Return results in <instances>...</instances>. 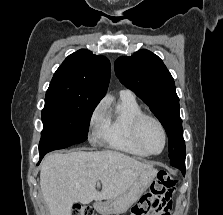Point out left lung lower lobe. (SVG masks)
<instances>
[{"mask_svg":"<svg viewBox=\"0 0 223 215\" xmlns=\"http://www.w3.org/2000/svg\"><path fill=\"white\" fill-rule=\"evenodd\" d=\"M173 166V165H172ZM174 167H176V168H178V169H180L181 170V172H182V174H183V176L185 175V165H178V166H174Z\"/></svg>","mask_w":223,"mask_h":215,"instance_id":"obj_1","label":"left lung lower lobe"}]
</instances>
